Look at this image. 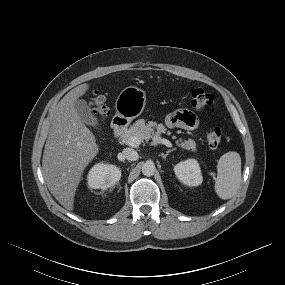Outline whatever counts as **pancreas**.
I'll use <instances>...</instances> for the list:
<instances>
[{"instance_id": "obj_1", "label": "pancreas", "mask_w": 285, "mask_h": 285, "mask_svg": "<svg viewBox=\"0 0 285 285\" xmlns=\"http://www.w3.org/2000/svg\"><path fill=\"white\" fill-rule=\"evenodd\" d=\"M162 133H166L167 135L171 134L163 124H157L156 122L146 123L144 119H139L121 135V138L126 142L132 136H138L141 140H155L156 138H159ZM176 143L185 150L196 151V143L192 139H179Z\"/></svg>"}]
</instances>
